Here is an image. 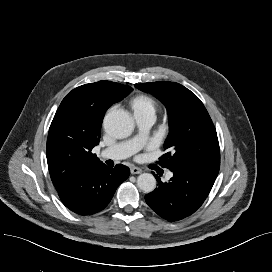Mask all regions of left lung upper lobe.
Wrapping results in <instances>:
<instances>
[{
  "mask_svg": "<svg viewBox=\"0 0 272 272\" xmlns=\"http://www.w3.org/2000/svg\"><path fill=\"white\" fill-rule=\"evenodd\" d=\"M167 108L169 134L161 165L170 170L199 167L219 171L220 149L213 122L199 98L174 82L137 84Z\"/></svg>",
  "mask_w": 272,
  "mask_h": 272,
  "instance_id": "obj_1",
  "label": "left lung upper lobe"
}]
</instances>
